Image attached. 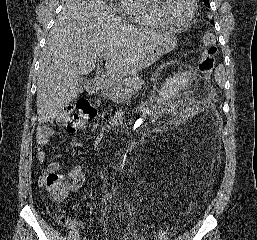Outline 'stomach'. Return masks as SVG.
I'll return each instance as SVG.
<instances>
[{
    "label": "stomach",
    "mask_w": 257,
    "mask_h": 240,
    "mask_svg": "<svg viewBox=\"0 0 257 240\" xmlns=\"http://www.w3.org/2000/svg\"><path fill=\"white\" fill-rule=\"evenodd\" d=\"M176 46L177 38L170 33H166L155 46L148 50L134 65L130 66L127 71L136 72L147 68L157 59L176 48Z\"/></svg>",
    "instance_id": "stomach-1"
}]
</instances>
